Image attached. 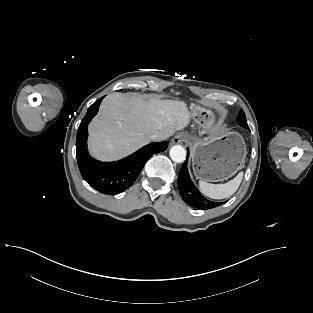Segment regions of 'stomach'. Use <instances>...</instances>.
Here are the masks:
<instances>
[{"mask_svg":"<svg viewBox=\"0 0 313 313\" xmlns=\"http://www.w3.org/2000/svg\"><path fill=\"white\" fill-rule=\"evenodd\" d=\"M191 116L199 136L190 137L193 171L203 181L218 182L232 177L243 165L246 146L235 132L225 133L214 125V114L201 105L192 104Z\"/></svg>","mask_w":313,"mask_h":313,"instance_id":"obj_1","label":"stomach"}]
</instances>
